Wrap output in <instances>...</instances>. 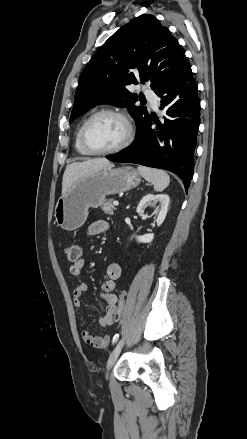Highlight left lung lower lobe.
I'll use <instances>...</instances> for the list:
<instances>
[{"mask_svg": "<svg viewBox=\"0 0 247 439\" xmlns=\"http://www.w3.org/2000/svg\"><path fill=\"white\" fill-rule=\"evenodd\" d=\"M198 86L187 60L158 91L164 121L152 116L136 129L135 141L107 159L119 163H137L169 170L177 174L188 189L193 177L194 149L197 143L200 103ZM153 122L156 128L152 129Z\"/></svg>", "mask_w": 247, "mask_h": 439, "instance_id": "obj_1", "label": "left lung lower lobe"}]
</instances>
